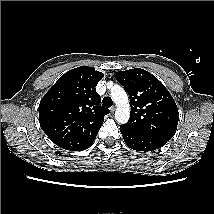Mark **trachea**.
I'll return each mask as SVG.
<instances>
[{
	"instance_id": "1",
	"label": "trachea",
	"mask_w": 214,
	"mask_h": 214,
	"mask_svg": "<svg viewBox=\"0 0 214 214\" xmlns=\"http://www.w3.org/2000/svg\"><path fill=\"white\" fill-rule=\"evenodd\" d=\"M102 103L107 108H109V107H111L113 105V101H112V99L110 97L103 98Z\"/></svg>"
}]
</instances>
